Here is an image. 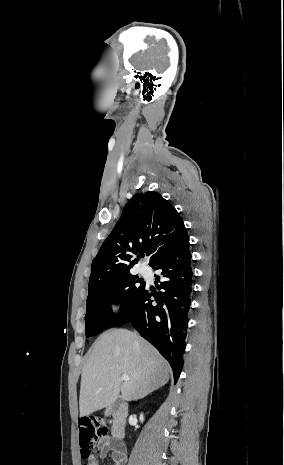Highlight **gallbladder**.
<instances>
[{
    "mask_svg": "<svg viewBox=\"0 0 284 465\" xmlns=\"http://www.w3.org/2000/svg\"><path fill=\"white\" fill-rule=\"evenodd\" d=\"M121 403H122V399H116V401H114L110 411H112V413H114V411H118Z\"/></svg>",
    "mask_w": 284,
    "mask_h": 465,
    "instance_id": "bac80fb5",
    "label": "gallbladder"
}]
</instances>
